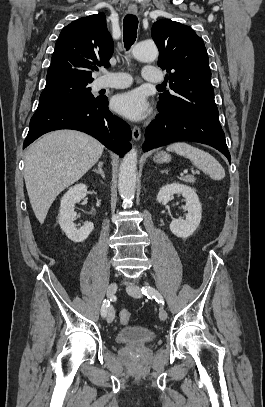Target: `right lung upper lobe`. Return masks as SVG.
<instances>
[{"instance_id":"obj_1","label":"right lung upper lobe","mask_w":265,"mask_h":407,"mask_svg":"<svg viewBox=\"0 0 265 407\" xmlns=\"http://www.w3.org/2000/svg\"><path fill=\"white\" fill-rule=\"evenodd\" d=\"M114 50L104 13L73 21L60 33L46 81L92 82L96 65L109 67Z\"/></svg>"}]
</instances>
